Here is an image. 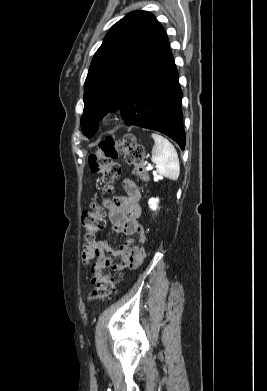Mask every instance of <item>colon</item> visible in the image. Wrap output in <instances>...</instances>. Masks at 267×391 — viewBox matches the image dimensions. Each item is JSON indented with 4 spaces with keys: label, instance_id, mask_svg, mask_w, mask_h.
<instances>
[{
    "label": "colon",
    "instance_id": "colon-1",
    "mask_svg": "<svg viewBox=\"0 0 267 391\" xmlns=\"http://www.w3.org/2000/svg\"><path fill=\"white\" fill-rule=\"evenodd\" d=\"M123 155L125 161L133 166L134 175L140 179H147L144 165V148L139 144L134 135L127 134L120 140L107 137L99 144V149L90 154L88 158L89 168L93 173L101 174L102 182L107 192L114 188V182L121 173L120 164L115 159ZM105 204L92 202L88 210L83 212L82 224L85 229L86 245L96 240V237L105 226ZM117 278L107 274L99 279L95 288L90 293L91 300H104L114 291Z\"/></svg>",
    "mask_w": 267,
    "mask_h": 391
}]
</instances>
